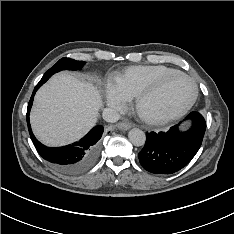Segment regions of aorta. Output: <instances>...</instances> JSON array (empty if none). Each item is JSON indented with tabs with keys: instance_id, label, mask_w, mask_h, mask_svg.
I'll return each instance as SVG.
<instances>
[{
	"instance_id": "1",
	"label": "aorta",
	"mask_w": 234,
	"mask_h": 234,
	"mask_svg": "<svg viewBox=\"0 0 234 234\" xmlns=\"http://www.w3.org/2000/svg\"><path fill=\"white\" fill-rule=\"evenodd\" d=\"M128 138L134 146H142L146 140L145 133L138 128L131 129L128 133Z\"/></svg>"
}]
</instances>
